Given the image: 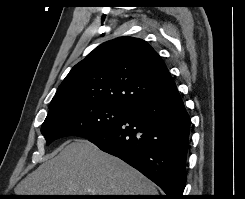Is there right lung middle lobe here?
I'll use <instances>...</instances> for the list:
<instances>
[{
    "label": "right lung middle lobe",
    "instance_id": "1",
    "mask_svg": "<svg viewBox=\"0 0 245 199\" xmlns=\"http://www.w3.org/2000/svg\"><path fill=\"white\" fill-rule=\"evenodd\" d=\"M128 109L108 104L83 103L49 114L41 127L46 145L65 136L92 137L119 122Z\"/></svg>",
    "mask_w": 245,
    "mask_h": 199
}]
</instances>
